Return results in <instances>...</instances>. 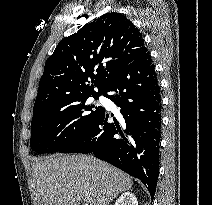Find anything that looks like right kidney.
Instances as JSON below:
<instances>
[{
	"label": "right kidney",
	"mask_w": 212,
	"mask_h": 205,
	"mask_svg": "<svg viewBox=\"0 0 212 205\" xmlns=\"http://www.w3.org/2000/svg\"><path fill=\"white\" fill-rule=\"evenodd\" d=\"M115 205H138V201L133 193L125 192L116 200Z\"/></svg>",
	"instance_id": "1"
}]
</instances>
